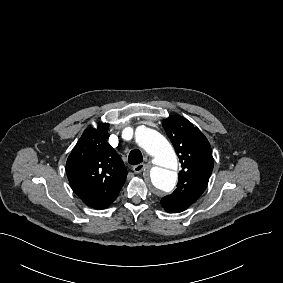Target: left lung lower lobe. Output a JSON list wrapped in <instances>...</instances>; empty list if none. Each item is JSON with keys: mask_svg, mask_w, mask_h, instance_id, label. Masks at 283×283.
Returning <instances> with one entry per match:
<instances>
[{"mask_svg": "<svg viewBox=\"0 0 283 283\" xmlns=\"http://www.w3.org/2000/svg\"><path fill=\"white\" fill-rule=\"evenodd\" d=\"M166 212L168 213H178V212H175V211H172L169 207H166V206H162Z\"/></svg>", "mask_w": 283, "mask_h": 283, "instance_id": "left-lung-lower-lobe-1", "label": "left lung lower lobe"}]
</instances>
